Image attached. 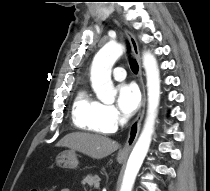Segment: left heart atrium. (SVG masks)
I'll return each mask as SVG.
<instances>
[{"label": "left heart atrium", "mask_w": 210, "mask_h": 191, "mask_svg": "<svg viewBox=\"0 0 210 191\" xmlns=\"http://www.w3.org/2000/svg\"><path fill=\"white\" fill-rule=\"evenodd\" d=\"M140 92L134 84H121L118 87V106L125 116H130L140 105Z\"/></svg>", "instance_id": "1"}]
</instances>
